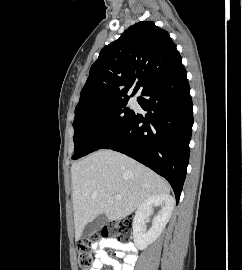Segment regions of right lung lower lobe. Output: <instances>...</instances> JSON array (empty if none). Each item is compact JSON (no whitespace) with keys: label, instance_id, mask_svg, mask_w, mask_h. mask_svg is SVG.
<instances>
[{"label":"right lung lower lobe","instance_id":"1","mask_svg":"<svg viewBox=\"0 0 242 270\" xmlns=\"http://www.w3.org/2000/svg\"><path fill=\"white\" fill-rule=\"evenodd\" d=\"M137 98L147 112L134 113L100 149H112L141 162L166 178L179 201L189 163L193 112L182 63L153 81Z\"/></svg>","mask_w":242,"mask_h":270}]
</instances>
